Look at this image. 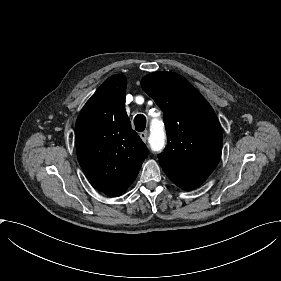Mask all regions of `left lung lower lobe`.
Here are the masks:
<instances>
[{"label": "left lung lower lobe", "mask_w": 281, "mask_h": 281, "mask_svg": "<svg viewBox=\"0 0 281 281\" xmlns=\"http://www.w3.org/2000/svg\"><path fill=\"white\" fill-rule=\"evenodd\" d=\"M160 165L169 179L184 190H192L198 187L210 175L208 172H191L180 170L166 163H160Z\"/></svg>", "instance_id": "1"}]
</instances>
